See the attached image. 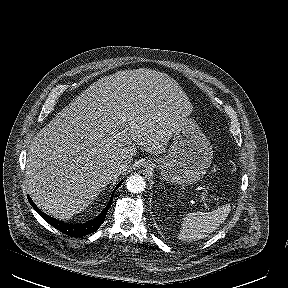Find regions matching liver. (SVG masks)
<instances>
[{
  "label": "liver",
  "instance_id": "1",
  "mask_svg": "<svg viewBox=\"0 0 288 288\" xmlns=\"http://www.w3.org/2000/svg\"><path fill=\"white\" fill-rule=\"evenodd\" d=\"M192 109L178 82L160 71L123 70L99 79L33 138L25 171L31 198L70 219L120 175H105L110 164H123L125 172L137 148L163 153Z\"/></svg>",
  "mask_w": 288,
  "mask_h": 288
}]
</instances>
